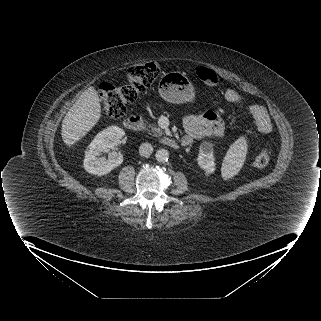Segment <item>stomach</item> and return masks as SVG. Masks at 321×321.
Segmentation results:
<instances>
[{"instance_id": "0dacf381", "label": "stomach", "mask_w": 321, "mask_h": 321, "mask_svg": "<svg viewBox=\"0 0 321 321\" xmlns=\"http://www.w3.org/2000/svg\"><path fill=\"white\" fill-rule=\"evenodd\" d=\"M158 90L165 101L174 104L193 102L195 99L191 82L179 71L165 73L159 81Z\"/></svg>"}]
</instances>
